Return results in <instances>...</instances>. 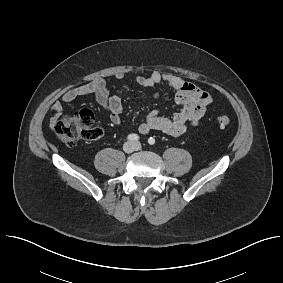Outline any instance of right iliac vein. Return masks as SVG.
Wrapping results in <instances>:
<instances>
[{
    "label": "right iliac vein",
    "mask_w": 283,
    "mask_h": 283,
    "mask_svg": "<svg viewBox=\"0 0 283 283\" xmlns=\"http://www.w3.org/2000/svg\"><path fill=\"white\" fill-rule=\"evenodd\" d=\"M123 150L124 152L126 153H131L135 150V145L134 143L132 142H126L124 145H123Z\"/></svg>",
    "instance_id": "63e3f726"
}]
</instances>
